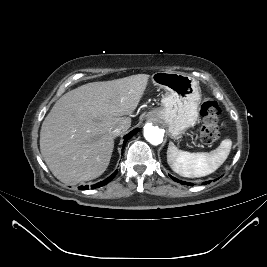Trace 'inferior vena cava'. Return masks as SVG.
<instances>
[{"mask_svg": "<svg viewBox=\"0 0 267 267\" xmlns=\"http://www.w3.org/2000/svg\"><path fill=\"white\" fill-rule=\"evenodd\" d=\"M129 128L128 125H118L112 128L111 130V134L114 137H117L118 135H120L122 132H124L125 130H127Z\"/></svg>", "mask_w": 267, "mask_h": 267, "instance_id": "602c4592", "label": "inferior vena cava"}]
</instances>
